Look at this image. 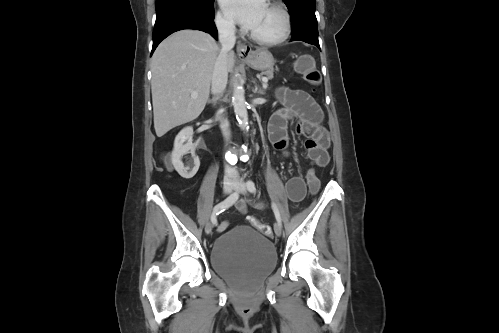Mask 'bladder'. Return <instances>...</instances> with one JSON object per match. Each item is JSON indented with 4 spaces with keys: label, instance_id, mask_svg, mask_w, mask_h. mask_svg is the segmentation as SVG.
<instances>
[{
    "label": "bladder",
    "instance_id": "bladder-1",
    "mask_svg": "<svg viewBox=\"0 0 499 333\" xmlns=\"http://www.w3.org/2000/svg\"><path fill=\"white\" fill-rule=\"evenodd\" d=\"M213 270L240 288L259 285L277 265L275 246L256 229L235 225L221 233L210 251Z\"/></svg>",
    "mask_w": 499,
    "mask_h": 333
}]
</instances>
